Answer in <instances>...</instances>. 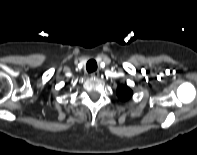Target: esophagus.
Returning a JSON list of instances; mask_svg holds the SVG:
<instances>
[{"mask_svg": "<svg viewBox=\"0 0 197 155\" xmlns=\"http://www.w3.org/2000/svg\"><path fill=\"white\" fill-rule=\"evenodd\" d=\"M91 77L93 78H98L99 77V72L98 71H94L90 74Z\"/></svg>", "mask_w": 197, "mask_h": 155, "instance_id": "1", "label": "esophagus"}]
</instances>
